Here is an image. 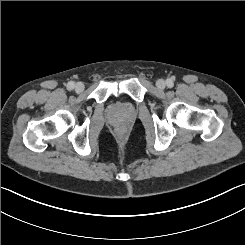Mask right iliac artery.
<instances>
[{
    "label": "right iliac artery",
    "mask_w": 245,
    "mask_h": 245,
    "mask_svg": "<svg viewBox=\"0 0 245 245\" xmlns=\"http://www.w3.org/2000/svg\"><path fill=\"white\" fill-rule=\"evenodd\" d=\"M74 87H75V83L74 82H72V81L68 82V84H67V89L68 90H72Z\"/></svg>",
    "instance_id": "obj_1"
}]
</instances>
